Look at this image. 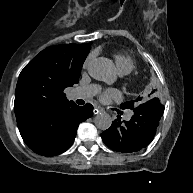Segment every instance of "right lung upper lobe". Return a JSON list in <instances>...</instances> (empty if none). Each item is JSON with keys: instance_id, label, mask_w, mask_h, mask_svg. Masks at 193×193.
Wrapping results in <instances>:
<instances>
[{"instance_id": "right-lung-upper-lobe-1", "label": "right lung upper lobe", "mask_w": 193, "mask_h": 193, "mask_svg": "<svg viewBox=\"0 0 193 193\" xmlns=\"http://www.w3.org/2000/svg\"><path fill=\"white\" fill-rule=\"evenodd\" d=\"M89 49L88 43L51 46L26 65L14 102L20 132L50 126L75 106L63 90L78 82Z\"/></svg>"}]
</instances>
